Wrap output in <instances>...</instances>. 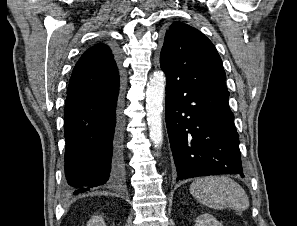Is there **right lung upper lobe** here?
<instances>
[{
  "label": "right lung upper lobe",
  "instance_id": "right-lung-upper-lobe-1",
  "mask_svg": "<svg viewBox=\"0 0 297 226\" xmlns=\"http://www.w3.org/2000/svg\"><path fill=\"white\" fill-rule=\"evenodd\" d=\"M121 77L114 53L99 43L90 47L76 63L67 95L83 93L115 84Z\"/></svg>",
  "mask_w": 297,
  "mask_h": 226
}]
</instances>
